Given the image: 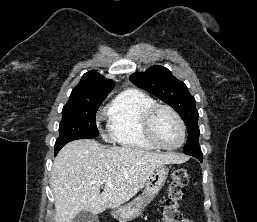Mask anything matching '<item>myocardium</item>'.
I'll use <instances>...</instances> for the list:
<instances>
[{
    "instance_id": "myocardium-1",
    "label": "myocardium",
    "mask_w": 257,
    "mask_h": 222,
    "mask_svg": "<svg viewBox=\"0 0 257 222\" xmlns=\"http://www.w3.org/2000/svg\"><path fill=\"white\" fill-rule=\"evenodd\" d=\"M160 110H166L169 113H171L179 124L180 131H181V139H180V142L175 146H165L162 143H160L155 136V133L153 130V120H154L155 115ZM142 129H143V133H144L146 139L154 147L161 149V150L174 151V150L180 149L186 140V126H185L184 120L182 119L180 114L169 105L156 103L153 106H151L150 108H148L142 118Z\"/></svg>"
}]
</instances>
